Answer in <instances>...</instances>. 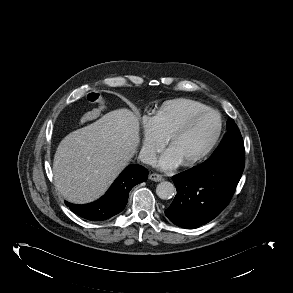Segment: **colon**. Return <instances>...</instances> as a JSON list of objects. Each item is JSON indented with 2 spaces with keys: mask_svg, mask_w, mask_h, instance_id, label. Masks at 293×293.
I'll use <instances>...</instances> for the list:
<instances>
[{
  "mask_svg": "<svg viewBox=\"0 0 293 293\" xmlns=\"http://www.w3.org/2000/svg\"><path fill=\"white\" fill-rule=\"evenodd\" d=\"M87 101L94 105L92 109L84 113L81 122L86 123L99 117L107 107L106 98L100 92H90L87 94Z\"/></svg>",
  "mask_w": 293,
  "mask_h": 293,
  "instance_id": "1",
  "label": "colon"
}]
</instances>
